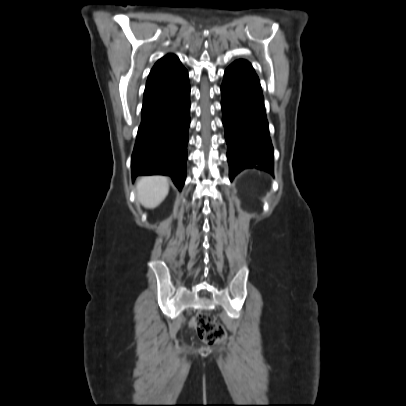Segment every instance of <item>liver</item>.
I'll return each instance as SVG.
<instances>
[{
    "mask_svg": "<svg viewBox=\"0 0 406 406\" xmlns=\"http://www.w3.org/2000/svg\"><path fill=\"white\" fill-rule=\"evenodd\" d=\"M138 200L147 208L157 207L167 196L168 180L162 176L142 177L137 182Z\"/></svg>",
    "mask_w": 406,
    "mask_h": 406,
    "instance_id": "liver-1",
    "label": "liver"
}]
</instances>
